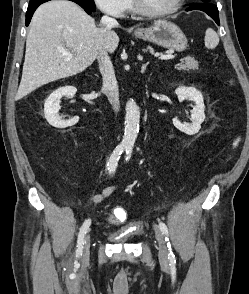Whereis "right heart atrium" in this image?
Returning a JSON list of instances; mask_svg holds the SVG:
<instances>
[{
    "label": "right heart atrium",
    "mask_w": 249,
    "mask_h": 294,
    "mask_svg": "<svg viewBox=\"0 0 249 294\" xmlns=\"http://www.w3.org/2000/svg\"><path fill=\"white\" fill-rule=\"evenodd\" d=\"M130 0H94L95 5L104 13L122 17L128 10Z\"/></svg>",
    "instance_id": "1"
}]
</instances>
